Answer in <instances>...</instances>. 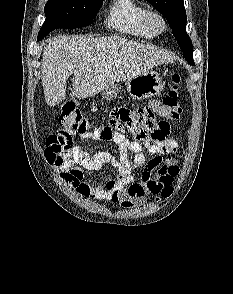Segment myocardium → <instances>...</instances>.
Returning <instances> with one entry per match:
<instances>
[{
	"instance_id": "f54148a6",
	"label": "myocardium",
	"mask_w": 233,
	"mask_h": 294,
	"mask_svg": "<svg viewBox=\"0 0 233 294\" xmlns=\"http://www.w3.org/2000/svg\"><path fill=\"white\" fill-rule=\"evenodd\" d=\"M148 28L155 34H162L167 29V21L162 13L148 10L145 17Z\"/></svg>"
}]
</instances>
